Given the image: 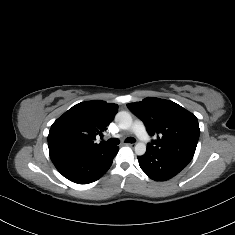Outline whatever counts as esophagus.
<instances>
[{"label": "esophagus", "instance_id": "34e87169", "mask_svg": "<svg viewBox=\"0 0 235 235\" xmlns=\"http://www.w3.org/2000/svg\"><path fill=\"white\" fill-rule=\"evenodd\" d=\"M124 145L129 146L131 148H134L136 144L135 143H124Z\"/></svg>", "mask_w": 235, "mask_h": 235}]
</instances>
